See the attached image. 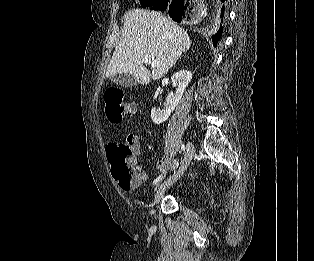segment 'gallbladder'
Wrapping results in <instances>:
<instances>
[{
    "label": "gallbladder",
    "instance_id": "obj_1",
    "mask_svg": "<svg viewBox=\"0 0 314 261\" xmlns=\"http://www.w3.org/2000/svg\"><path fill=\"white\" fill-rule=\"evenodd\" d=\"M111 81L122 87H134L137 81L130 73H119L111 77Z\"/></svg>",
    "mask_w": 314,
    "mask_h": 261
}]
</instances>
